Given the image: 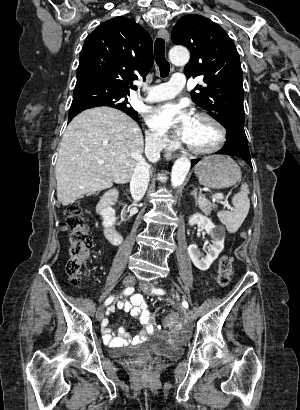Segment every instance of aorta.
Returning <instances> with one entry per match:
<instances>
[{"instance_id": "1", "label": "aorta", "mask_w": 300, "mask_h": 410, "mask_svg": "<svg viewBox=\"0 0 300 410\" xmlns=\"http://www.w3.org/2000/svg\"><path fill=\"white\" fill-rule=\"evenodd\" d=\"M169 58L174 64L185 65L189 61L190 54L185 47H173L169 51ZM190 166V160L186 157H180L175 161L171 172L172 187L177 188L183 184Z\"/></svg>"}]
</instances>
